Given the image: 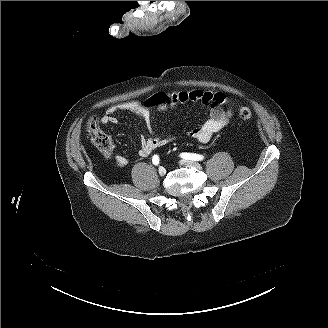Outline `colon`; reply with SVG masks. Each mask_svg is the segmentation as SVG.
<instances>
[{
	"instance_id": "1",
	"label": "colon",
	"mask_w": 328,
	"mask_h": 328,
	"mask_svg": "<svg viewBox=\"0 0 328 328\" xmlns=\"http://www.w3.org/2000/svg\"><path fill=\"white\" fill-rule=\"evenodd\" d=\"M171 102V96L165 93H158L150 97L146 102V107L166 105ZM252 117V112L248 107H242L239 110V118L249 120ZM87 133L90 136L93 144L102 152L109 153L113 149L112 139L109 135L103 132L99 126V120L96 117H91L87 122Z\"/></svg>"
}]
</instances>
